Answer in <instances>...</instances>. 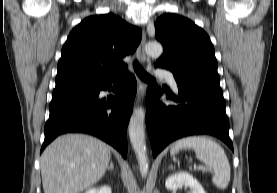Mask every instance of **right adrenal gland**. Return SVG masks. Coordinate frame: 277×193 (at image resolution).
<instances>
[{"mask_svg": "<svg viewBox=\"0 0 277 193\" xmlns=\"http://www.w3.org/2000/svg\"><path fill=\"white\" fill-rule=\"evenodd\" d=\"M108 170H114V165L112 161L110 162V166L108 167Z\"/></svg>", "mask_w": 277, "mask_h": 193, "instance_id": "1", "label": "right adrenal gland"}]
</instances>
